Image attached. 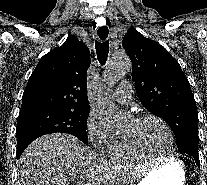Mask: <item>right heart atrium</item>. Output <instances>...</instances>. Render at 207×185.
I'll return each mask as SVG.
<instances>
[{"instance_id": "obj_1", "label": "right heart atrium", "mask_w": 207, "mask_h": 185, "mask_svg": "<svg viewBox=\"0 0 207 185\" xmlns=\"http://www.w3.org/2000/svg\"><path fill=\"white\" fill-rule=\"evenodd\" d=\"M117 136L103 112L93 110L87 122V137L97 151H105Z\"/></svg>"}]
</instances>
